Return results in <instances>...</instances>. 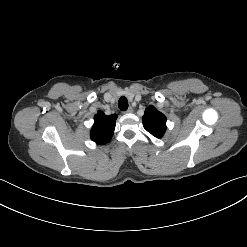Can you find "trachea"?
Returning <instances> with one entry per match:
<instances>
[{
    "label": "trachea",
    "instance_id": "trachea-1",
    "mask_svg": "<svg viewBox=\"0 0 247 247\" xmlns=\"http://www.w3.org/2000/svg\"><path fill=\"white\" fill-rule=\"evenodd\" d=\"M118 107L121 111H126L128 109V101L126 97H120L118 101Z\"/></svg>",
    "mask_w": 247,
    "mask_h": 247
}]
</instances>
